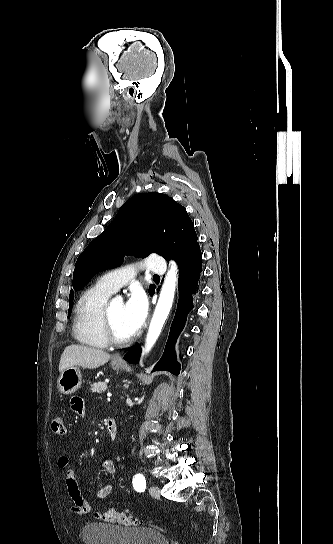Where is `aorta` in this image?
Returning <instances> with one entry per match:
<instances>
[{
  "instance_id": "1",
  "label": "aorta",
  "mask_w": 333,
  "mask_h": 544,
  "mask_svg": "<svg viewBox=\"0 0 333 544\" xmlns=\"http://www.w3.org/2000/svg\"><path fill=\"white\" fill-rule=\"evenodd\" d=\"M176 283H177V267L174 263H172L165 277V280L160 292V296L158 299V303L156 305V308H155V311L149 326L144 353H147L150 351V349L153 347V345L155 344V342L157 341L161 333L162 327L169 315V312L173 304Z\"/></svg>"
}]
</instances>
